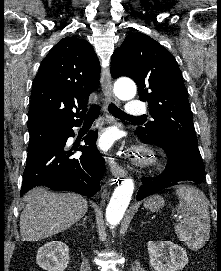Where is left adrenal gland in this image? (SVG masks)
<instances>
[{"instance_id":"left-adrenal-gland-1","label":"left adrenal gland","mask_w":221,"mask_h":271,"mask_svg":"<svg viewBox=\"0 0 221 271\" xmlns=\"http://www.w3.org/2000/svg\"><path fill=\"white\" fill-rule=\"evenodd\" d=\"M141 223H147V221H141Z\"/></svg>"}]
</instances>
